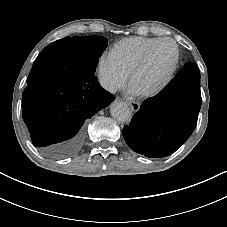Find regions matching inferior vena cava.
Segmentation results:
<instances>
[{"mask_svg": "<svg viewBox=\"0 0 227 227\" xmlns=\"http://www.w3.org/2000/svg\"><path fill=\"white\" fill-rule=\"evenodd\" d=\"M99 82L101 84V86L106 89L107 91L114 93L117 91V89L115 88V86L105 77H100L99 78Z\"/></svg>", "mask_w": 227, "mask_h": 227, "instance_id": "602c4592", "label": "inferior vena cava"}]
</instances>
